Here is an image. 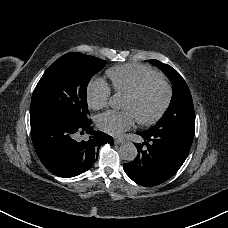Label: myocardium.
Listing matches in <instances>:
<instances>
[{
    "label": "myocardium",
    "instance_id": "myocardium-1",
    "mask_svg": "<svg viewBox=\"0 0 228 228\" xmlns=\"http://www.w3.org/2000/svg\"><path fill=\"white\" fill-rule=\"evenodd\" d=\"M155 84H160L163 88H164V96H163V99H162V102L158 108V110L156 111V113L151 116L150 118L148 119H139L138 122L140 124H143V125H150V124H153L155 123L156 121H158L163 113L165 112L168 104H169V101H170V97H171V90H170V86L169 84L162 80V79H154V80H151V81H148L146 83H144L141 87H139L135 92H133L132 94H130L128 96V98H131V99H138L142 96V94L148 89L150 88L151 86L155 85Z\"/></svg>",
    "mask_w": 228,
    "mask_h": 228
}]
</instances>
